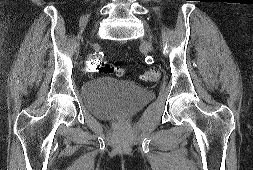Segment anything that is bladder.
<instances>
[{"label": "bladder", "instance_id": "bladder-1", "mask_svg": "<svg viewBox=\"0 0 253 170\" xmlns=\"http://www.w3.org/2000/svg\"><path fill=\"white\" fill-rule=\"evenodd\" d=\"M82 96L89 111L105 119L116 113L133 115L153 100L151 90L109 77L86 82Z\"/></svg>", "mask_w": 253, "mask_h": 170}]
</instances>
